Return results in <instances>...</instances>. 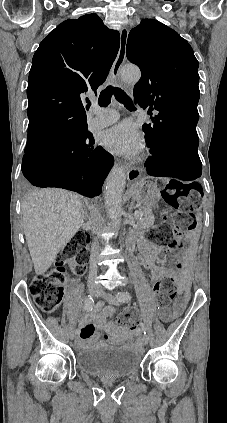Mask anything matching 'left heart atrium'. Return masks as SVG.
Masks as SVG:
<instances>
[{
  "label": "left heart atrium",
  "instance_id": "39dd6f15",
  "mask_svg": "<svg viewBox=\"0 0 227 423\" xmlns=\"http://www.w3.org/2000/svg\"><path fill=\"white\" fill-rule=\"evenodd\" d=\"M101 142L111 153L129 158L137 157L143 148L141 133L130 125H119L104 131Z\"/></svg>",
  "mask_w": 227,
  "mask_h": 423
}]
</instances>
